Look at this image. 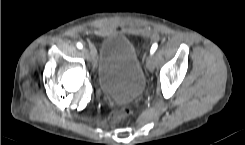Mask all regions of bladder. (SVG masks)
Wrapping results in <instances>:
<instances>
[{
	"label": "bladder",
	"instance_id": "31cf9c89",
	"mask_svg": "<svg viewBox=\"0 0 245 145\" xmlns=\"http://www.w3.org/2000/svg\"><path fill=\"white\" fill-rule=\"evenodd\" d=\"M97 79L101 91L113 100H132L144 87V73L132 41L117 33L104 37L98 53Z\"/></svg>",
	"mask_w": 245,
	"mask_h": 145
}]
</instances>
